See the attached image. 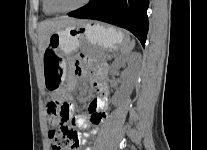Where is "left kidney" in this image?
I'll return each instance as SVG.
<instances>
[{
	"label": "left kidney",
	"mask_w": 207,
	"mask_h": 150,
	"mask_svg": "<svg viewBox=\"0 0 207 150\" xmlns=\"http://www.w3.org/2000/svg\"><path fill=\"white\" fill-rule=\"evenodd\" d=\"M140 58L141 57L138 53H132L128 55L119 56L114 60L111 66V72L113 74H118L119 69L125 66L126 64H128L130 67L128 73L123 77L122 89L118 91L114 97V105H116L120 99L124 98L125 96H128L132 92L134 78L139 67Z\"/></svg>",
	"instance_id": "5707ae66"
}]
</instances>
